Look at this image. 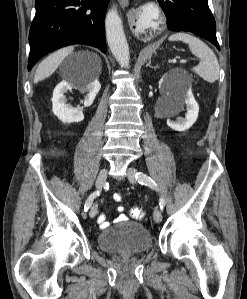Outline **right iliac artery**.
Here are the masks:
<instances>
[{"mask_svg": "<svg viewBox=\"0 0 247 299\" xmlns=\"http://www.w3.org/2000/svg\"><path fill=\"white\" fill-rule=\"evenodd\" d=\"M99 194H100L99 191H94L93 193L90 194V196L88 197V199L85 202V206H84L85 211L89 210V208L91 207V205L93 203L94 198L99 196Z\"/></svg>", "mask_w": 247, "mask_h": 299, "instance_id": "82829eb1", "label": "right iliac artery"}]
</instances>
